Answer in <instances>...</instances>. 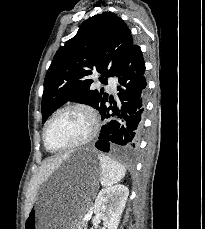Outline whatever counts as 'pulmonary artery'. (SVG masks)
Masks as SVG:
<instances>
[{
    "label": "pulmonary artery",
    "mask_w": 205,
    "mask_h": 229,
    "mask_svg": "<svg viewBox=\"0 0 205 229\" xmlns=\"http://www.w3.org/2000/svg\"><path fill=\"white\" fill-rule=\"evenodd\" d=\"M107 83L112 91L116 90V81L113 78H108Z\"/></svg>",
    "instance_id": "1"
}]
</instances>
